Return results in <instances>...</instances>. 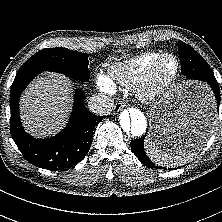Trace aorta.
<instances>
[{"instance_id":"1","label":"aorta","mask_w":222,"mask_h":222,"mask_svg":"<svg viewBox=\"0 0 222 222\" xmlns=\"http://www.w3.org/2000/svg\"><path fill=\"white\" fill-rule=\"evenodd\" d=\"M119 122L123 133L132 137L142 136L147 128L144 113L135 107L122 111L119 116Z\"/></svg>"}]
</instances>
